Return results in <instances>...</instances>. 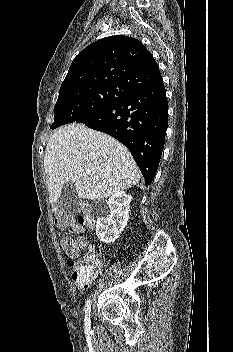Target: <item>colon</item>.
I'll return each mask as SVG.
<instances>
[{
    "mask_svg": "<svg viewBox=\"0 0 233 352\" xmlns=\"http://www.w3.org/2000/svg\"><path fill=\"white\" fill-rule=\"evenodd\" d=\"M56 222L60 227L74 225L73 220L63 214L58 215ZM77 222L78 229L82 226L89 228L95 226V220L88 209L82 210ZM61 246L67 255L78 257L87 248V241L82 236L65 237L61 241ZM100 270V262L91 255H86L77 261H72V277L79 280L86 281L99 274Z\"/></svg>",
    "mask_w": 233,
    "mask_h": 352,
    "instance_id": "5ec220e1",
    "label": "colon"
}]
</instances>
